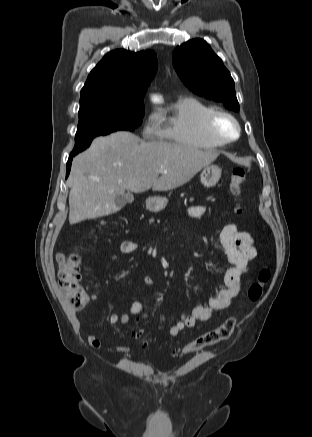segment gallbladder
I'll return each instance as SVG.
<instances>
[{
  "mask_svg": "<svg viewBox=\"0 0 312 437\" xmlns=\"http://www.w3.org/2000/svg\"><path fill=\"white\" fill-rule=\"evenodd\" d=\"M133 200H134V198H133V195H131V194H129L127 196V198L120 197V196L117 197L116 198V207H117V210L121 209L126 204V202L131 203Z\"/></svg>",
  "mask_w": 312,
  "mask_h": 437,
  "instance_id": "gallbladder-1",
  "label": "gallbladder"
}]
</instances>
